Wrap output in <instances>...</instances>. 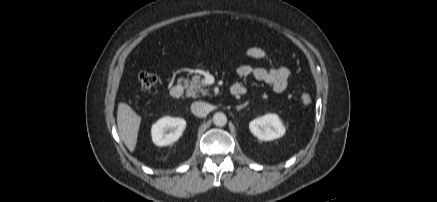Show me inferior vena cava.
I'll return each mask as SVG.
<instances>
[{"instance_id": "1", "label": "inferior vena cava", "mask_w": 437, "mask_h": 202, "mask_svg": "<svg viewBox=\"0 0 437 202\" xmlns=\"http://www.w3.org/2000/svg\"><path fill=\"white\" fill-rule=\"evenodd\" d=\"M191 112L198 117H206L210 112V105L208 103L197 101L191 104Z\"/></svg>"}]
</instances>
